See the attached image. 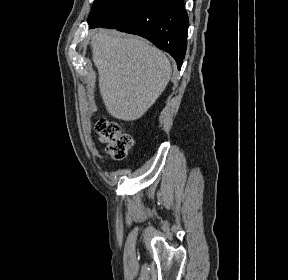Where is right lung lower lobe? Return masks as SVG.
I'll use <instances>...</instances> for the list:
<instances>
[{
	"instance_id": "right-lung-lower-lobe-1",
	"label": "right lung lower lobe",
	"mask_w": 288,
	"mask_h": 280,
	"mask_svg": "<svg viewBox=\"0 0 288 280\" xmlns=\"http://www.w3.org/2000/svg\"><path fill=\"white\" fill-rule=\"evenodd\" d=\"M88 24L142 36L168 52L181 68L189 26L184 0H118Z\"/></svg>"
}]
</instances>
